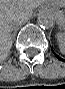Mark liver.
<instances>
[{
    "instance_id": "1",
    "label": "liver",
    "mask_w": 65,
    "mask_h": 89,
    "mask_svg": "<svg viewBox=\"0 0 65 89\" xmlns=\"http://www.w3.org/2000/svg\"><path fill=\"white\" fill-rule=\"evenodd\" d=\"M54 1L43 0H0V56L4 58L12 45L11 33L14 23L22 18L30 17L32 10L44 3ZM60 3L63 2L59 1Z\"/></svg>"
}]
</instances>
